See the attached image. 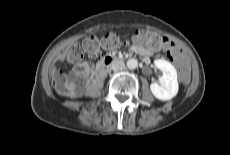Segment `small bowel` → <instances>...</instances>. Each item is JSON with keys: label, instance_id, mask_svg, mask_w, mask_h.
<instances>
[{"label": "small bowel", "instance_id": "small-bowel-1", "mask_svg": "<svg viewBox=\"0 0 230 155\" xmlns=\"http://www.w3.org/2000/svg\"><path fill=\"white\" fill-rule=\"evenodd\" d=\"M164 48V47H162ZM159 47H148V46H142L140 44L134 43L132 45V50L140 55H151L155 51H157ZM165 49V48H164Z\"/></svg>", "mask_w": 230, "mask_h": 155}]
</instances>
